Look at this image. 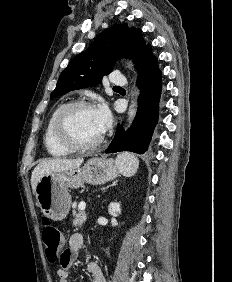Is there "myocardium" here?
I'll return each mask as SVG.
<instances>
[{"label":"myocardium","instance_id":"myocardium-1","mask_svg":"<svg viewBox=\"0 0 232 282\" xmlns=\"http://www.w3.org/2000/svg\"><path fill=\"white\" fill-rule=\"evenodd\" d=\"M77 108H94V106L91 102L86 100H75L63 105V107L58 112L54 121V125H53L54 137L61 146H63L64 148L70 151L80 152V151L93 150L103 143L105 138L104 134H102L97 140H95L92 143L79 144L73 141L66 132L65 129L66 120L69 114Z\"/></svg>","mask_w":232,"mask_h":282}]
</instances>
